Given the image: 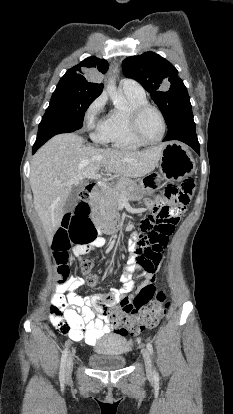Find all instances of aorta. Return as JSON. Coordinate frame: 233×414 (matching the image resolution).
<instances>
[{
    "mask_svg": "<svg viewBox=\"0 0 233 414\" xmlns=\"http://www.w3.org/2000/svg\"><path fill=\"white\" fill-rule=\"evenodd\" d=\"M106 90L113 102V105L117 108H120L125 105L126 99L124 98L123 94L117 90L115 79H109Z\"/></svg>",
    "mask_w": 233,
    "mask_h": 414,
    "instance_id": "1",
    "label": "aorta"
}]
</instances>
